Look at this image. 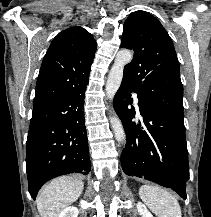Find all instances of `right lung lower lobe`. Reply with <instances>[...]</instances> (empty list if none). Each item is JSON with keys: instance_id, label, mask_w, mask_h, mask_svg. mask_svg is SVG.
Returning a JSON list of instances; mask_svg holds the SVG:
<instances>
[{"instance_id": "1", "label": "right lung lower lobe", "mask_w": 211, "mask_h": 217, "mask_svg": "<svg viewBox=\"0 0 211 217\" xmlns=\"http://www.w3.org/2000/svg\"><path fill=\"white\" fill-rule=\"evenodd\" d=\"M86 85L44 107L33 109L26 142L29 192L35 200L48 180L91 169L84 118Z\"/></svg>"}]
</instances>
